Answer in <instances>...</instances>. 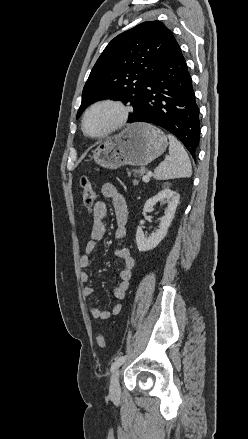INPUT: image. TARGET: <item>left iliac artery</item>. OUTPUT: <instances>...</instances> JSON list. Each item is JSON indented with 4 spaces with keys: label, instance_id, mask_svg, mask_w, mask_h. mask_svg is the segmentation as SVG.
Segmentation results:
<instances>
[{
    "label": "left iliac artery",
    "instance_id": "obj_1",
    "mask_svg": "<svg viewBox=\"0 0 248 439\" xmlns=\"http://www.w3.org/2000/svg\"><path fill=\"white\" fill-rule=\"evenodd\" d=\"M127 355L125 356H120L119 358H117L111 365V372H114L120 365H122L124 363V361L126 360Z\"/></svg>",
    "mask_w": 248,
    "mask_h": 439
}]
</instances>
